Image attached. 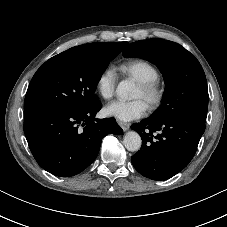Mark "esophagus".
Returning <instances> with one entry per match:
<instances>
[{"label":"esophagus","mask_w":227,"mask_h":227,"mask_svg":"<svg viewBox=\"0 0 227 227\" xmlns=\"http://www.w3.org/2000/svg\"><path fill=\"white\" fill-rule=\"evenodd\" d=\"M118 124L120 125V127L124 130V131H127L129 130L130 128V124L129 123H126V122H122V121H117Z\"/></svg>","instance_id":"esophagus-1"}]
</instances>
